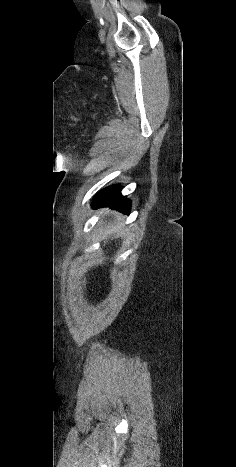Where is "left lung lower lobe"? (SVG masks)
Instances as JSON below:
<instances>
[{
	"label": "left lung lower lobe",
	"instance_id": "1",
	"mask_svg": "<svg viewBox=\"0 0 236 467\" xmlns=\"http://www.w3.org/2000/svg\"><path fill=\"white\" fill-rule=\"evenodd\" d=\"M120 190L121 188L118 186H111L99 192L94 198L93 208L110 206L113 209L129 214L131 202L121 195Z\"/></svg>",
	"mask_w": 236,
	"mask_h": 467
}]
</instances>
